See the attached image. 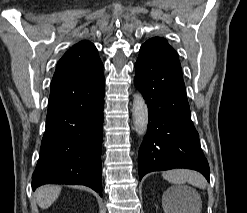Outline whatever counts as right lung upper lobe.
Segmentation results:
<instances>
[{
    "label": "right lung upper lobe",
    "mask_w": 247,
    "mask_h": 213,
    "mask_svg": "<svg viewBox=\"0 0 247 213\" xmlns=\"http://www.w3.org/2000/svg\"><path fill=\"white\" fill-rule=\"evenodd\" d=\"M103 68L96 47L90 41H80L58 61L52 84L93 73Z\"/></svg>",
    "instance_id": "cb5924a9"
}]
</instances>
